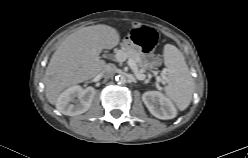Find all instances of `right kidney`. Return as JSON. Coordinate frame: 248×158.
Wrapping results in <instances>:
<instances>
[{"label": "right kidney", "instance_id": "1", "mask_svg": "<svg viewBox=\"0 0 248 158\" xmlns=\"http://www.w3.org/2000/svg\"><path fill=\"white\" fill-rule=\"evenodd\" d=\"M95 95V89L91 86L85 89L74 85L66 89L57 100V109L68 116H76L89 110Z\"/></svg>", "mask_w": 248, "mask_h": 158}]
</instances>
